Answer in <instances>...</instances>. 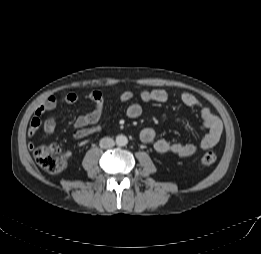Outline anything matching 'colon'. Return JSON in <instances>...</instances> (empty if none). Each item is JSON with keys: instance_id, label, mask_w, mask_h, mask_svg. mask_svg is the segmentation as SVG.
I'll list each match as a JSON object with an SVG mask.
<instances>
[{"instance_id": "5ec220e1", "label": "colon", "mask_w": 261, "mask_h": 254, "mask_svg": "<svg viewBox=\"0 0 261 254\" xmlns=\"http://www.w3.org/2000/svg\"><path fill=\"white\" fill-rule=\"evenodd\" d=\"M33 155L37 164L48 173H58L65 168L66 157L61 147L56 144L37 146L33 151ZM216 159V154L209 151L201 157L199 164L201 166H209Z\"/></svg>"}]
</instances>
